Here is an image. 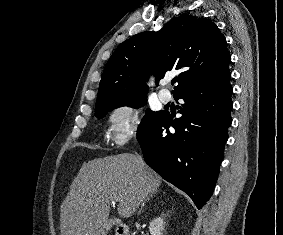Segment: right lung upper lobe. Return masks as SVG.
I'll return each mask as SVG.
<instances>
[{
    "instance_id": "right-lung-upper-lobe-1",
    "label": "right lung upper lobe",
    "mask_w": 283,
    "mask_h": 235,
    "mask_svg": "<svg viewBox=\"0 0 283 235\" xmlns=\"http://www.w3.org/2000/svg\"><path fill=\"white\" fill-rule=\"evenodd\" d=\"M231 56L216 24L188 14L172 18L157 32L145 31L121 43L108 60L96 104L146 97L145 81L178 71L179 90L222 76Z\"/></svg>"
}]
</instances>
